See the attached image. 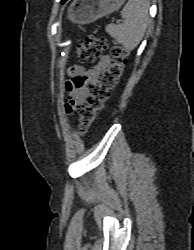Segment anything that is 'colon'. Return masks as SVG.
<instances>
[{"label": "colon", "mask_w": 194, "mask_h": 250, "mask_svg": "<svg viewBox=\"0 0 194 250\" xmlns=\"http://www.w3.org/2000/svg\"><path fill=\"white\" fill-rule=\"evenodd\" d=\"M108 48V41L103 37L89 35L87 39L78 44L77 56L82 63L95 61L101 53ZM128 51L119 44L111 49V64L99 75L98 80L90 86L86 103L78 109V133L85 134L103 111L112 91L118 85L119 79L127 62Z\"/></svg>", "instance_id": "obj_1"}]
</instances>
